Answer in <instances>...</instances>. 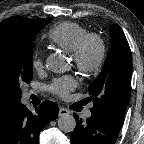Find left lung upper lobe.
Instances as JSON below:
<instances>
[{"mask_svg":"<svg viewBox=\"0 0 144 144\" xmlns=\"http://www.w3.org/2000/svg\"><path fill=\"white\" fill-rule=\"evenodd\" d=\"M112 47L99 77L89 87L93 110L124 120L130 99L132 56L128 41L118 24L110 28Z\"/></svg>","mask_w":144,"mask_h":144,"instance_id":"obj_1","label":"left lung upper lobe"}]
</instances>
